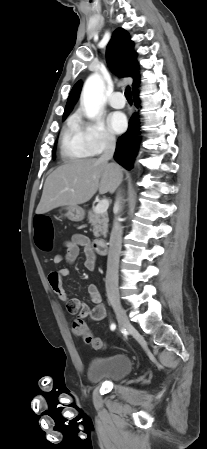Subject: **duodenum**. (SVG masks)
<instances>
[{"instance_id": "obj_1", "label": "duodenum", "mask_w": 207, "mask_h": 449, "mask_svg": "<svg viewBox=\"0 0 207 449\" xmlns=\"http://www.w3.org/2000/svg\"><path fill=\"white\" fill-rule=\"evenodd\" d=\"M93 247L98 254L103 255L107 252V241L105 239H96L93 242Z\"/></svg>"}]
</instances>
